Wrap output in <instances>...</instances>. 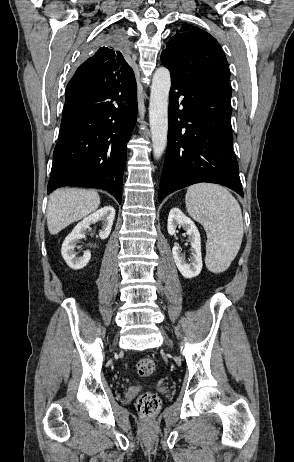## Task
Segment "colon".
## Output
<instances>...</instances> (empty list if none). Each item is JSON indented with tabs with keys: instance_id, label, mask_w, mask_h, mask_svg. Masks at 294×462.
Wrapping results in <instances>:
<instances>
[{
	"instance_id": "obj_1",
	"label": "colon",
	"mask_w": 294,
	"mask_h": 462,
	"mask_svg": "<svg viewBox=\"0 0 294 462\" xmlns=\"http://www.w3.org/2000/svg\"><path fill=\"white\" fill-rule=\"evenodd\" d=\"M155 370V362L151 358H143L137 363V372L141 377H149ZM137 410L142 417L151 418L160 409V398L151 392L141 394L137 399Z\"/></svg>"
}]
</instances>
